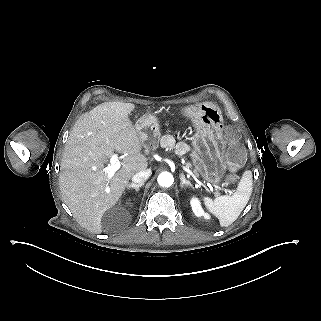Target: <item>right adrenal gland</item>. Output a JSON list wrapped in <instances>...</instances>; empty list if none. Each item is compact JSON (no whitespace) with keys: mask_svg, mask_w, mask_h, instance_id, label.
Wrapping results in <instances>:
<instances>
[{"mask_svg":"<svg viewBox=\"0 0 321 321\" xmlns=\"http://www.w3.org/2000/svg\"><path fill=\"white\" fill-rule=\"evenodd\" d=\"M143 185L144 183L128 185L127 190H135L136 192H138L139 188L142 187Z\"/></svg>","mask_w":321,"mask_h":321,"instance_id":"2a0ac1e0","label":"right adrenal gland"}]
</instances>
